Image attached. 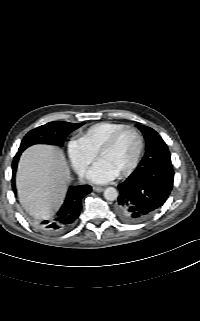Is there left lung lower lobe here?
I'll use <instances>...</instances> for the list:
<instances>
[{"mask_svg":"<svg viewBox=\"0 0 200 321\" xmlns=\"http://www.w3.org/2000/svg\"><path fill=\"white\" fill-rule=\"evenodd\" d=\"M174 182V170L168 165L138 167L118 185L115 207L121 221L137 223L147 219L167 200Z\"/></svg>","mask_w":200,"mask_h":321,"instance_id":"left-lung-lower-lobe-1","label":"left lung lower lobe"}]
</instances>
